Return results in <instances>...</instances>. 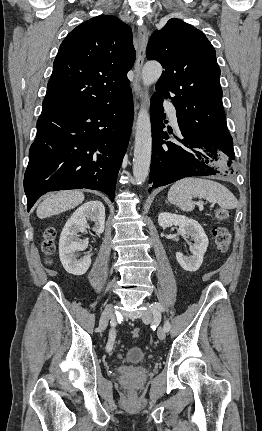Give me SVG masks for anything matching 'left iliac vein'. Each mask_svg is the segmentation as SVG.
Listing matches in <instances>:
<instances>
[{
  "label": "left iliac vein",
  "instance_id": "left-iliac-vein-1",
  "mask_svg": "<svg viewBox=\"0 0 262 431\" xmlns=\"http://www.w3.org/2000/svg\"><path fill=\"white\" fill-rule=\"evenodd\" d=\"M146 309L142 311V320L144 322H152L153 320V313H152V308L151 305H149L148 303L144 304ZM156 315H159V313L157 312ZM157 336L160 340H164L165 336H166V331L164 330V328H159L157 331Z\"/></svg>",
  "mask_w": 262,
  "mask_h": 431
}]
</instances>
